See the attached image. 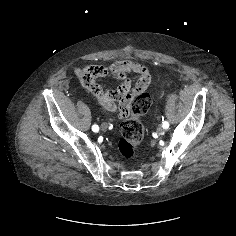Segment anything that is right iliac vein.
I'll return each instance as SVG.
<instances>
[{
    "label": "right iliac vein",
    "mask_w": 236,
    "mask_h": 236,
    "mask_svg": "<svg viewBox=\"0 0 236 236\" xmlns=\"http://www.w3.org/2000/svg\"><path fill=\"white\" fill-rule=\"evenodd\" d=\"M107 128H108V124H107V123H102L101 129H102L103 131H106Z\"/></svg>",
    "instance_id": "obj_1"
}]
</instances>
